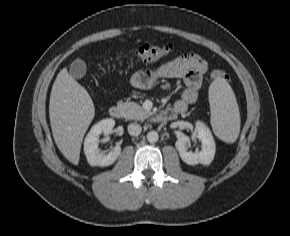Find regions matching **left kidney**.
Returning <instances> with one entry per match:
<instances>
[{
  "instance_id": "obj_1",
  "label": "left kidney",
  "mask_w": 290,
  "mask_h": 236,
  "mask_svg": "<svg viewBox=\"0 0 290 236\" xmlns=\"http://www.w3.org/2000/svg\"><path fill=\"white\" fill-rule=\"evenodd\" d=\"M193 135L202 142V149L194 153L187 151L186 145L190 142V138L183 135L175 143L181 159L188 165L198 163L209 165L215 155V142L210 129L203 122L197 121Z\"/></svg>"
}]
</instances>
